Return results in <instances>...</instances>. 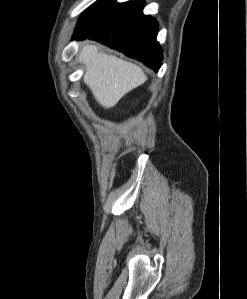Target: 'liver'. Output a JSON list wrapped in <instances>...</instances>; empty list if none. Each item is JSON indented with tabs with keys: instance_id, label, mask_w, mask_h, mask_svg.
Returning <instances> with one entry per match:
<instances>
[{
	"instance_id": "1",
	"label": "liver",
	"mask_w": 247,
	"mask_h": 299,
	"mask_svg": "<svg viewBox=\"0 0 247 299\" xmlns=\"http://www.w3.org/2000/svg\"><path fill=\"white\" fill-rule=\"evenodd\" d=\"M79 61L85 66L84 83L96 101L108 109L146 80L143 70L131 63L100 51L97 45L83 46Z\"/></svg>"
}]
</instances>
